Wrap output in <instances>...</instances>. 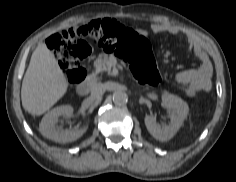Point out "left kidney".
<instances>
[{
  "instance_id": "left-kidney-1",
  "label": "left kidney",
  "mask_w": 236,
  "mask_h": 182,
  "mask_svg": "<svg viewBox=\"0 0 236 182\" xmlns=\"http://www.w3.org/2000/svg\"><path fill=\"white\" fill-rule=\"evenodd\" d=\"M162 102L170 113L169 125L161 127L153 115H146L144 121L149 133L155 139L165 142L170 140L179 130L187 117L189 107L181 98L170 93L162 95Z\"/></svg>"
}]
</instances>
